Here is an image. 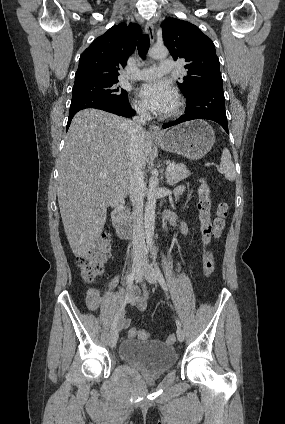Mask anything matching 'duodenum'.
<instances>
[{
	"mask_svg": "<svg viewBox=\"0 0 285 424\" xmlns=\"http://www.w3.org/2000/svg\"><path fill=\"white\" fill-rule=\"evenodd\" d=\"M113 227L121 239H127L131 232L132 226L125 217V212L121 204H117L111 214Z\"/></svg>",
	"mask_w": 285,
	"mask_h": 424,
	"instance_id": "1",
	"label": "duodenum"
}]
</instances>
